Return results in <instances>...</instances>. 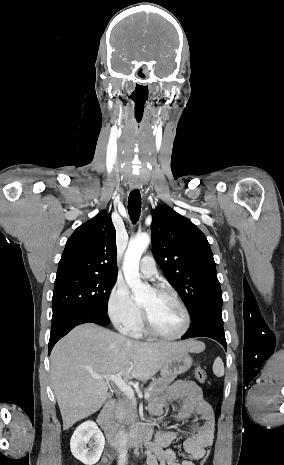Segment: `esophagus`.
<instances>
[{
    "mask_svg": "<svg viewBox=\"0 0 284 465\" xmlns=\"http://www.w3.org/2000/svg\"><path fill=\"white\" fill-rule=\"evenodd\" d=\"M130 188L135 190V189H138L139 188V183H138V180L134 177L131 181V185H130Z\"/></svg>",
    "mask_w": 284,
    "mask_h": 465,
    "instance_id": "1",
    "label": "esophagus"
}]
</instances>
